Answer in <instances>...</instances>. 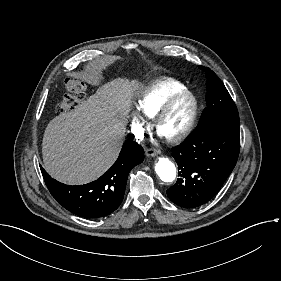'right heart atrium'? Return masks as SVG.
<instances>
[{"label": "right heart atrium", "mask_w": 281, "mask_h": 281, "mask_svg": "<svg viewBox=\"0 0 281 281\" xmlns=\"http://www.w3.org/2000/svg\"><path fill=\"white\" fill-rule=\"evenodd\" d=\"M135 136L139 138L141 136V132L138 128H135Z\"/></svg>", "instance_id": "obj_1"}]
</instances>
